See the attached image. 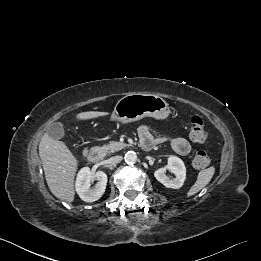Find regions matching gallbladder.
<instances>
[{"label":"gallbladder","instance_id":"obj_1","mask_svg":"<svg viewBox=\"0 0 261 261\" xmlns=\"http://www.w3.org/2000/svg\"><path fill=\"white\" fill-rule=\"evenodd\" d=\"M47 134L53 139H62L65 135V130L60 122L53 123L47 129Z\"/></svg>","mask_w":261,"mask_h":261}]
</instances>
